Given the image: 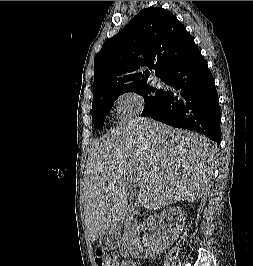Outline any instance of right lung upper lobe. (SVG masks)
Masks as SVG:
<instances>
[{
	"instance_id": "cb5924a9",
	"label": "right lung upper lobe",
	"mask_w": 253,
	"mask_h": 266,
	"mask_svg": "<svg viewBox=\"0 0 253 266\" xmlns=\"http://www.w3.org/2000/svg\"><path fill=\"white\" fill-rule=\"evenodd\" d=\"M197 49L171 12L160 7L141 10L97 53L93 102L146 83L151 71L162 78ZM145 66L149 69L141 70Z\"/></svg>"
}]
</instances>
